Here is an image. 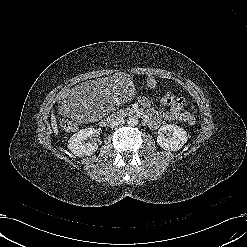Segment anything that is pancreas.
<instances>
[{"label":"pancreas","mask_w":247,"mask_h":247,"mask_svg":"<svg viewBox=\"0 0 247 247\" xmlns=\"http://www.w3.org/2000/svg\"><path fill=\"white\" fill-rule=\"evenodd\" d=\"M130 110H131L130 108L127 109V111H130Z\"/></svg>","instance_id":"cf45deb5"}]
</instances>
